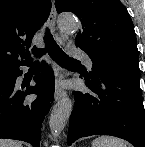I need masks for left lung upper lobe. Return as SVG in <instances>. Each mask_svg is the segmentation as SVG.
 <instances>
[{
	"label": "left lung upper lobe",
	"mask_w": 145,
	"mask_h": 147,
	"mask_svg": "<svg viewBox=\"0 0 145 147\" xmlns=\"http://www.w3.org/2000/svg\"><path fill=\"white\" fill-rule=\"evenodd\" d=\"M55 5L58 13L69 11L81 20L76 46L89 55L93 64L139 65L134 26L119 0H56Z\"/></svg>",
	"instance_id": "5c2ea615"
}]
</instances>
